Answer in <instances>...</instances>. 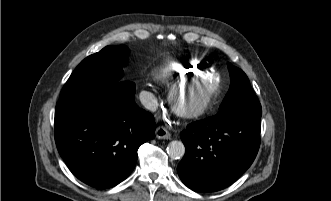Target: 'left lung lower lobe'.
I'll list each match as a JSON object with an SVG mask.
<instances>
[{"mask_svg": "<svg viewBox=\"0 0 331 201\" xmlns=\"http://www.w3.org/2000/svg\"><path fill=\"white\" fill-rule=\"evenodd\" d=\"M260 103L221 110L180 134L186 153L178 166L182 182L196 192L222 190L254 161L261 131Z\"/></svg>", "mask_w": 331, "mask_h": 201, "instance_id": "1", "label": "left lung lower lobe"}]
</instances>
